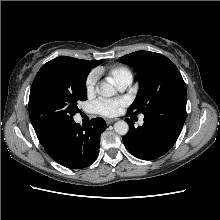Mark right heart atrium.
<instances>
[{
	"label": "right heart atrium",
	"instance_id": "right-heart-atrium-1",
	"mask_svg": "<svg viewBox=\"0 0 220 220\" xmlns=\"http://www.w3.org/2000/svg\"><path fill=\"white\" fill-rule=\"evenodd\" d=\"M96 85V77L94 75H90L85 84V90L88 95L92 94L95 90Z\"/></svg>",
	"mask_w": 220,
	"mask_h": 220
}]
</instances>
